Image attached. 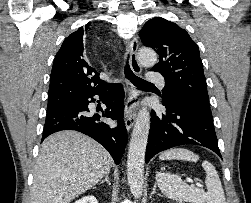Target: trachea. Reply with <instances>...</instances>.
<instances>
[{
	"label": "trachea",
	"mask_w": 251,
	"mask_h": 203,
	"mask_svg": "<svg viewBox=\"0 0 251 203\" xmlns=\"http://www.w3.org/2000/svg\"><path fill=\"white\" fill-rule=\"evenodd\" d=\"M124 74L125 77L130 80L134 85L136 86H152L153 84L150 82H147L143 79H141L140 77L136 76L132 70L130 69V66L128 64V62H126V65L124 67Z\"/></svg>",
	"instance_id": "trachea-1"
}]
</instances>
